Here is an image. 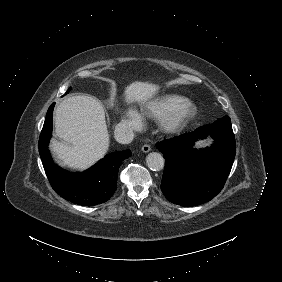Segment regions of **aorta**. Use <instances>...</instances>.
<instances>
[{"instance_id":"1","label":"aorta","mask_w":282,"mask_h":282,"mask_svg":"<svg viewBox=\"0 0 282 282\" xmlns=\"http://www.w3.org/2000/svg\"><path fill=\"white\" fill-rule=\"evenodd\" d=\"M146 164L153 171H160L164 168V158L160 153L152 152L146 157Z\"/></svg>"}]
</instances>
